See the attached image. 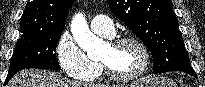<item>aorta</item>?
Instances as JSON below:
<instances>
[{
	"label": "aorta",
	"instance_id": "762f6f07",
	"mask_svg": "<svg viewBox=\"0 0 205 87\" xmlns=\"http://www.w3.org/2000/svg\"><path fill=\"white\" fill-rule=\"evenodd\" d=\"M71 32L75 42L80 48L88 53L103 48L105 42L96 37L89 29L83 14H76L71 21Z\"/></svg>",
	"mask_w": 205,
	"mask_h": 87
}]
</instances>
